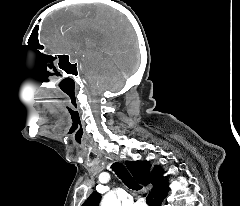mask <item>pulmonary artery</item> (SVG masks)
Instances as JSON below:
<instances>
[{
  "label": "pulmonary artery",
  "mask_w": 240,
  "mask_h": 206,
  "mask_svg": "<svg viewBox=\"0 0 240 206\" xmlns=\"http://www.w3.org/2000/svg\"><path fill=\"white\" fill-rule=\"evenodd\" d=\"M133 206H146V205L144 203L138 201V202L134 203Z\"/></svg>",
  "instance_id": "pulmonary-artery-1"
}]
</instances>
